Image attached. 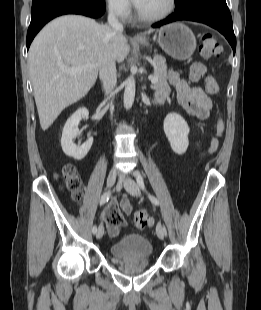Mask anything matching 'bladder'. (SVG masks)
<instances>
[{
	"instance_id": "1",
	"label": "bladder",
	"mask_w": 261,
	"mask_h": 310,
	"mask_svg": "<svg viewBox=\"0 0 261 310\" xmlns=\"http://www.w3.org/2000/svg\"><path fill=\"white\" fill-rule=\"evenodd\" d=\"M110 252L115 259L145 260L151 257L153 247L144 235L131 233L114 242Z\"/></svg>"
}]
</instances>
